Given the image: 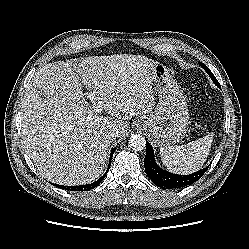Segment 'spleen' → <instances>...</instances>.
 I'll return each instance as SVG.
<instances>
[{"label":"spleen","mask_w":249,"mask_h":249,"mask_svg":"<svg viewBox=\"0 0 249 249\" xmlns=\"http://www.w3.org/2000/svg\"><path fill=\"white\" fill-rule=\"evenodd\" d=\"M213 141V134L192 141L186 145L160 148L162 163L176 174H190L198 171L205 163Z\"/></svg>","instance_id":"obj_1"}]
</instances>
